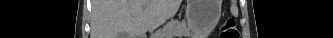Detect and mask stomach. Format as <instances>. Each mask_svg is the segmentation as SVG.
I'll use <instances>...</instances> for the list:
<instances>
[{
    "label": "stomach",
    "instance_id": "0dacf381",
    "mask_svg": "<svg viewBox=\"0 0 333 38\" xmlns=\"http://www.w3.org/2000/svg\"><path fill=\"white\" fill-rule=\"evenodd\" d=\"M195 0H188V6H187V23L191 28H194L197 23V15L195 11Z\"/></svg>",
    "mask_w": 333,
    "mask_h": 38
}]
</instances>
